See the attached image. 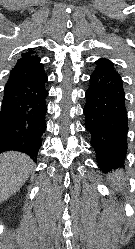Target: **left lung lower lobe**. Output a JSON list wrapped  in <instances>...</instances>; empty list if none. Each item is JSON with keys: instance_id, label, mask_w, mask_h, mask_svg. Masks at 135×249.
Masks as SVG:
<instances>
[{"instance_id": "obj_1", "label": "left lung lower lobe", "mask_w": 135, "mask_h": 249, "mask_svg": "<svg viewBox=\"0 0 135 249\" xmlns=\"http://www.w3.org/2000/svg\"><path fill=\"white\" fill-rule=\"evenodd\" d=\"M85 97V127L91 135L98 166L110 170L124 165L128 117L121 76L96 62Z\"/></svg>"}]
</instances>
